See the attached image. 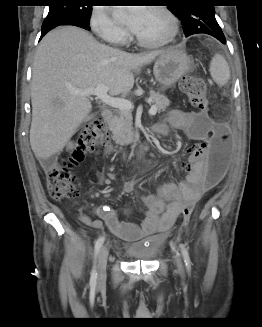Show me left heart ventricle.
I'll list each match as a JSON object with an SVG mask.
<instances>
[{"instance_id":"left-heart-ventricle-1","label":"left heart ventricle","mask_w":262,"mask_h":327,"mask_svg":"<svg viewBox=\"0 0 262 327\" xmlns=\"http://www.w3.org/2000/svg\"><path fill=\"white\" fill-rule=\"evenodd\" d=\"M135 32L147 40H161L170 32V26L163 15L148 9Z\"/></svg>"}]
</instances>
